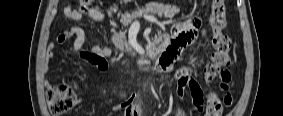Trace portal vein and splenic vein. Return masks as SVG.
<instances>
[{
	"label": "portal vein and splenic vein",
	"instance_id": "portal-vein-and-splenic-vein-1",
	"mask_svg": "<svg viewBox=\"0 0 283 116\" xmlns=\"http://www.w3.org/2000/svg\"><path fill=\"white\" fill-rule=\"evenodd\" d=\"M143 18L149 22H157V18L152 15L144 14Z\"/></svg>",
	"mask_w": 283,
	"mask_h": 116
}]
</instances>
